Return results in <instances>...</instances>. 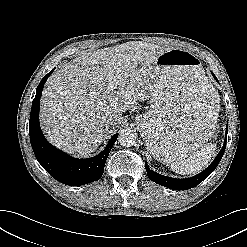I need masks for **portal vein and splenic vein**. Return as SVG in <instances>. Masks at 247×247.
<instances>
[{
    "label": "portal vein and splenic vein",
    "mask_w": 247,
    "mask_h": 247,
    "mask_svg": "<svg viewBox=\"0 0 247 247\" xmlns=\"http://www.w3.org/2000/svg\"><path fill=\"white\" fill-rule=\"evenodd\" d=\"M114 88V85L113 84H110V89H113Z\"/></svg>",
    "instance_id": "1"
}]
</instances>
